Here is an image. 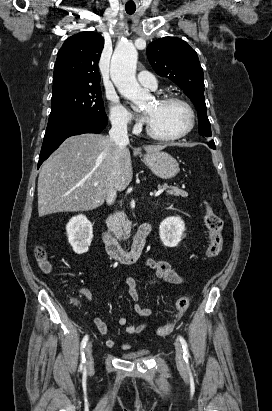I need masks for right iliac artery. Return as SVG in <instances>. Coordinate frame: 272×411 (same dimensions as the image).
<instances>
[{
  "label": "right iliac artery",
  "instance_id": "obj_1",
  "mask_svg": "<svg viewBox=\"0 0 272 411\" xmlns=\"http://www.w3.org/2000/svg\"><path fill=\"white\" fill-rule=\"evenodd\" d=\"M88 342V335H85L84 338L82 339L81 342V366L85 369V363H86V359H85V354H84V348L86 346Z\"/></svg>",
  "mask_w": 272,
  "mask_h": 411
}]
</instances>
